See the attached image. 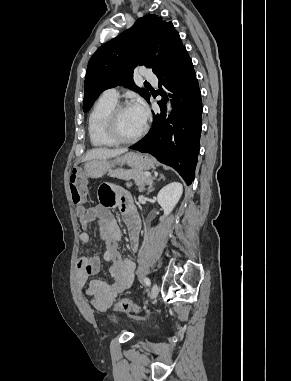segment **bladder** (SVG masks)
<instances>
[{
  "label": "bladder",
  "mask_w": 291,
  "mask_h": 381,
  "mask_svg": "<svg viewBox=\"0 0 291 381\" xmlns=\"http://www.w3.org/2000/svg\"><path fill=\"white\" fill-rule=\"evenodd\" d=\"M119 318L118 317H116V316H110V320L112 321V322H115V321H117Z\"/></svg>",
  "instance_id": "bladder-1"
}]
</instances>
